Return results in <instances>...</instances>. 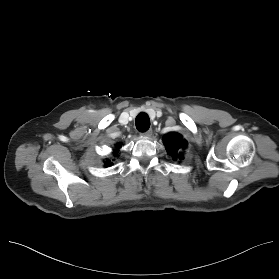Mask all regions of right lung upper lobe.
<instances>
[{
	"label": "right lung upper lobe",
	"mask_w": 279,
	"mask_h": 279,
	"mask_svg": "<svg viewBox=\"0 0 279 279\" xmlns=\"http://www.w3.org/2000/svg\"><path fill=\"white\" fill-rule=\"evenodd\" d=\"M120 147H121V145H120V144H118V145H117V149H116V150H114V152H113V153H114V154H117V151H118V149H119ZM104 163H105V165H106V166H108V165H112V163L110 162V160H107V161H105Z\"/></svg>",
	"instance_id": "obj_1"
}]
</instances>
